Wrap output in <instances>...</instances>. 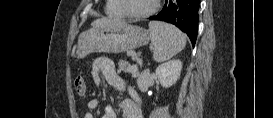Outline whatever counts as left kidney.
Masks as SVG:
<instances>
[{
	"label": "left kidney",
	"mask_w": 273,
	"mask_h": 118,
	"mask_svg": "<svg viewBox=\"0 0 273 118\" xmlns=\"http://www.w3.org/2000/svg\"><path fill=\"white\" fill-rule=\"evenodd\" d=\"M182 62L178 59L170 60L158 66L155 76L164 88L174 85L180 77Z\"/></svg>",
	"instance_id": "5707ae66"
}]
</instances>
